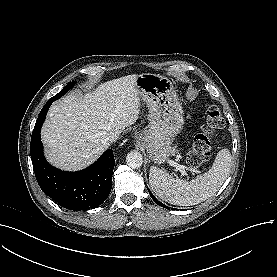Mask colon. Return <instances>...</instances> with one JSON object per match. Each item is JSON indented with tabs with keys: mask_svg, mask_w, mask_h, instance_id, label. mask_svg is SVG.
Wrapping results in <instances>:
<instances>
[{
	"mask_svg": "<svg viewBox=\"0 0 277 277\" xmlns=\"http://www.w3.org/2000/svg\"><path fill=\"white\" fill-rule=\"evenodd\" d=\"M224 123L218 106L214 104L209 105L205 113L204 123L198 134L194 137L191 149L187 155V162L191 167H200L209 160L212 141L217 137Z\"/></svg>",
	"mask_w": 277,
	"mask_h": 277,
	"instance_id": "obj_1",
	"label": "colon"
}]
</instances>
